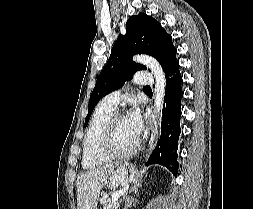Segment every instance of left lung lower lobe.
Returning a JSON list of instances; mask_svg holds the SVG:
<instances>
[{"label":"left lung lower lobe","instance_id":"0a47b994","mask_svg":"<svg viewBox=\"0 0 253 209\" xmlns=\"http://www.w3.org/2000/svg\"><path fill=\"white\" fill-rule=\"evenodd\" d=\"M166 92L164 97L161 137L146 165L160 164L175 176L178 173V141L181 133V100L183 98L182 76L179 62L173 63L165 72Z\"/></svg>","mask_w":253,"mask_h":209}]
</instances>
